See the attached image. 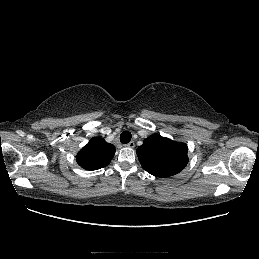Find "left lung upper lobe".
<instances>
[{
  "mask_svg": "<svg viewBox=\"0 0 259 259\" xmlns=\"http://www.w3.org/2000/svg\"><path fill=\"white\" fill-rule=\"evenodd\" d=\"M142 167L157 177H169L182 171L188 163L187 145L159 134L146 138L137 148Z\"/></svg>",
  "mask_w": 259,
  "mask_h": 259,
  "instance_id": "left-lung-upper-lobe-1",
  "label": "left lung upper lobe"
}]
</instances>
